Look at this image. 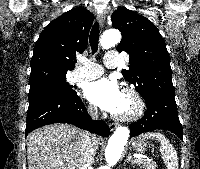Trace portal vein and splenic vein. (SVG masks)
I'll use <instances>...</instances> for the list:
<instances>
[{
    "label": "portal vein and splenic vein",
    "mask_w": 200,
    "mask_h": 169,
    "mask_svg": "<svg viewBox=\"0 0 200 169\" xmlns=\"http://www.w3.org/2000/svg\"><path fill=\"white\" fill-rule=\"evenodd\" d=\"M144 158L148 159V157H146V156H137V157H136L137 160H142V159H144Z\"/></svg>",
    "instance_id": "obj_1"
}]
</instances>
